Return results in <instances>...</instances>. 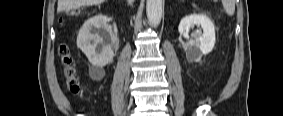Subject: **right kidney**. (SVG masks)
Returning <instances> with one entry per match:
<instances>
[{
    "label": "right kidney",
    "instance_id": "obj_1",
    "mask_svg": "<svg viewBox=\"0 0 283 116\" xmlns=\"http://www.w3.org/2000/svg\"><path fill=\"white\" fill-rule=\"evenodd\" d=\"M112 18L96 15L89 18L79 30L77 47L95 67H104L113 60L119 47V39L108 23Z\"/></svg>",
    "mask_w": 283,
    "mask_h": 116
}]
</instances>
